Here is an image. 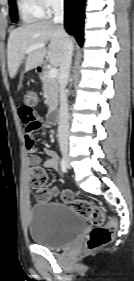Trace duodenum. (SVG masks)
<instances>
[{"instance_id":"obj_1","label":"duodenum","mask_w":134,"mask_h":281,"mask_svg":"<svg viewBox=\"0 0 134 281\" xmlns=\"http://www.w3.org/2000/svg\"><path fill=\"white\" fill-rule=\"evenodd\" d=\"M43 68L42 67H39L38 68V73L39 74H42L43 73ZM48 123L50 125H56L58 123V113L55 109L51 110L49 115H48Z\"/></svg>"}]
</instances>
